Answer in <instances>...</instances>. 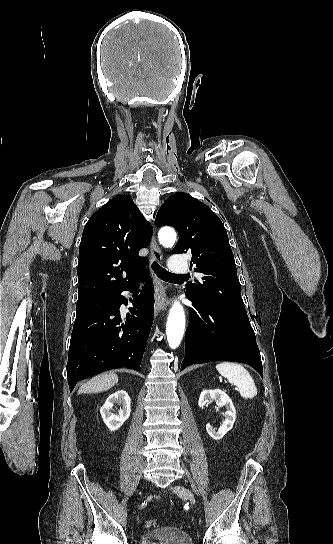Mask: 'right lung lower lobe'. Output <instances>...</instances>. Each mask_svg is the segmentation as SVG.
I'll return each mask as SVG.
<instances>
[{
    "instance_id": "98d812e1",
    "label": "right lung lower lobe",
    "mask_w": 333,
    "mask_h": 544,
    "mask_svg": "<svg viewBox=\"0 0 333 544\" xmlns=\"http://www.w3.org/2000/svg\"><path fill=\"white\" fill-rule=\"evenodd\" d=\"M145 282L137 291L131 282L115 294L114 300L99 311L75 320L70 340L67 378L70 391L79 380L115 368L126 367L140 372V364L153 322L154 294L148 272L140 276ZM135 293L126 319L120 316L121 304L127 305L122 291Z\"/></svg>"
}]
</instances>
